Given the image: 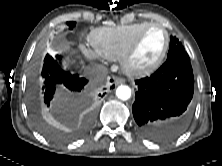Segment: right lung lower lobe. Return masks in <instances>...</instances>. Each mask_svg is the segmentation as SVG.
Here are the masks:
<instances>
[{"label":"right lung lower lobe","mask_w":222,"mask_h":166,"mask_svg":"<svg viewBox=\"0 0 222 166\" xmlns=\"http://www.w3.org/2000/svg\"><path fill=\"white\" fill-rule=\"evenodd\" d=\"M60 60V56L54 59L50 55H46L44 59L41 72L43 82L40 88V104L45 108H53L56 103L77 97L87 84L85 78L61 69ZM57 93L59 94L57 95Z\"/></svg>","instance_id":"right-lung-lower-lobe-1"}]
</instances>
